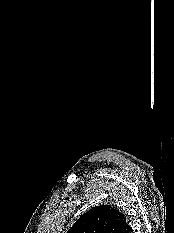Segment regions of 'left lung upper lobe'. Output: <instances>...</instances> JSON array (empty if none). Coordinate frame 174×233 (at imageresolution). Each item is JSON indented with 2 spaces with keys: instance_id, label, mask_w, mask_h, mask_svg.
I'll use <instances>...</instances> for the list:
<instances>
[{
  "instance_id": "5c2ea615",
  "label": "left lung upper lobe",
  "mask_w": 174,
  "mask_h": 233,
  "mask_svg": "<svg viewBox=\"0 0 174 233\" xmlns=\"http://www.w3.org/2000/svg\"><path fill=\"white\" fill-rule=\"evenodd\" d=\"M129 227L123 213L110 205H100L83 214L67 233H124Z\"/></svg>"
}]
</instances>
